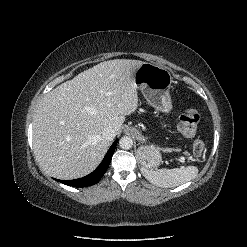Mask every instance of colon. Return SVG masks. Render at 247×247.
Wrapping results in <instances>:
<instances>
[{
  "label": "colon",
  "instance_id": "obj_1",
  "mask_svg": "<svg viewBox=\"0 0 247 247\" xmlns=\"http://www.w3.org/2000/svg\"><path fill=\"white\" fill-rule=\"evenodd\" d=\"M199 124V114L194 108L187 109L180 117L178 130L185 138H192L195 136ZM193 153L201 155L205 150V142L201 138H196L193 142Z\"/></svg>",
  "mask_w": 247,
  "mask_h": 247
}]
</instances>
